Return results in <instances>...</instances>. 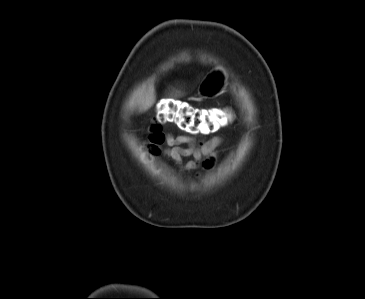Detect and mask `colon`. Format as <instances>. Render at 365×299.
Wrapping results in <instances>:
<instances>
[{
    "instance_id": "colon-1",
    "label": "colon",
    "mask_w": 365,
    "mask_h": 299,
    "mask_svg": "<svg viewBox=\"0 0 365 299\" xmlns=\"http://www.w3.org/2000/svg\"><path fill=\"white\" fill-rule=\"evenodd\" d=\"M226 112L221 108H195L188 103L166 99L157 107L149 130L148 148L157 153L165 141L162 126L174 124L177 127L199 134H210L224 126Z\"/></svg>"
}]
</instances>
